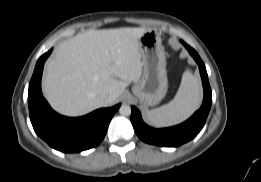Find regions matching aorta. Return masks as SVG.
Masks as SVG:
<instances>
[{"label":"aorta","mask_w":261,"mask_h":182,"mask_svg":"<svg viewBox=\"0 0 261 182\" xmlns=\"http://www.w3.org/2000/svg\"><path fill=\"white\" fill-rule=\"evenodd\" d=\"M119 112L122 116H129L131 114V107L128 105H122Z\"/></svg>","instance_id":"obj_1"}]
</instances>
